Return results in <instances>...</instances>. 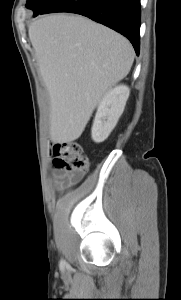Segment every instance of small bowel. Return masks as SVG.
Returning <instances> with one entry per match:
<instances>
[{"label": "small bowel", "mask_w": 181, "mask_h": 300, "mask_svg": "<svg viewBox=\"0 0 181 300\" xmlns=\"http://www.w3.org/2000/svg\"><path fill=\"white\" fill-rule=\"evenodd\" d=\"M78 180V177L71 176L67 171L55 169L53 172V183L59 189L67 188Z\"/></svg>", "instance_id": "obj_1"}]
</instances>
